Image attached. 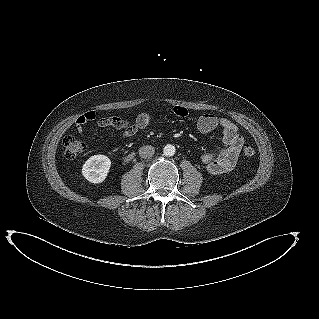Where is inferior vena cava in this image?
<instances>
[{
    "mask_svg": "<svg viewBox=\"0 0 319 319\" xmlns=\"http://www.w3.org/2000/svg\"><path fill=\"white\" fill-rule=\"evenodd\" d=\"M154 153H155V149H154V147H152L150 145L142 146L139 150V155L142 158H150L154 155Z\"/></svg>",
    "mask_w": 319,
    "mask_h": 319,
    "instance_id": "inferior-vena-cava-1",
    "label": "inferior vena cava"
}]
</instances>
